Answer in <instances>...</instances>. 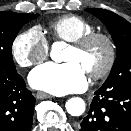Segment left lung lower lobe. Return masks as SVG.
I'll return each instance as SVG.
<instances>
[{
	"instance_id": "left-lung-lower-lobe-1",
	"label": "left lung lower lobe",
	"mask_w": 131,
	"mask_h": 131,
	"mask_svg": "<svg viewBox=\"0 0 131 131\" xmlns=\"http://www.w3.org/2000/svg\"><path fill=\"white\" fill-rule=\"evenodd\" d=\"M79 131H131V86L102 85Z\"/></svg>"
}]
</instances>
